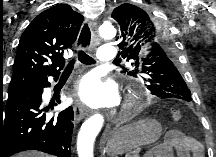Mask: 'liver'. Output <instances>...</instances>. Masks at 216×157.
I'll use <instances>...</instances> for the list:
<instances>
[{"label":"liver","mask_w":216,"mask_h":157,"mask_svg":"<svg viewBox=\"0 0 216 157\" xmlns=\"http://www.w3.org/2000/svg\"><path fill=\"white\" fill-rule=\"evenodd\" d=\"M15 157H49L47 154L38 151H26L16 154Z\"/></svg>","instance_id":"6515ba94"}]
</instances>
